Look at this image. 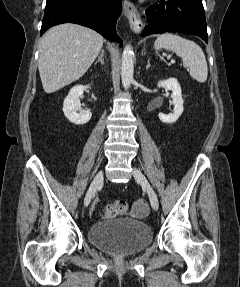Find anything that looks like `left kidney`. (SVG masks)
<instances>
[{"mask_svg": "<svg viewBox=\"0 0 240 287\" xmlns=\"http://www.w3.org/2000/svg\"><path fill=\"white\" fill-rule=\"evenodd\" d=\"M157 86L163 87L165 90L172 91L171 97L173 99L174 109L173 113L168 115L159 113V119L167 124H172L178 120V118L183 113V98L181 94V87L175 78H169L163 81H159Z\"/></svg>", "mask_w": 240, "mask_h": 287, "instance_id": "obj_1", "label": "left kidney"}]
</instances>
